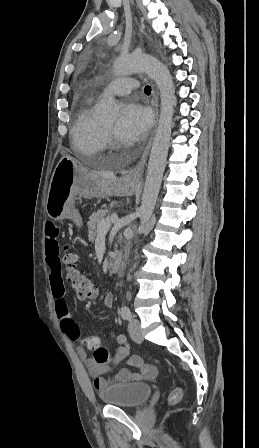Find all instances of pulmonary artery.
Instances as JSON below:
<instances>
[{
    "instance_id": "pulmonary-artery-1",
    "label": "pulmonary artery",
    "mask_w": 259,
    "mask_h": 448,
    "mask_svg": "<svg viewBox=\"0 0 259 448\" xmlns=\"http://www.w3.org/2000/svg\"><path fill=\"white\" fill-rule=\"evenodd\" d=\"M138 69L134 66L121 64L120 72L121 74L112 80L103 90L107 94L111 95H123L130 93V89L122 88L119 86V82L123 81L125 77L129 74L137 72Z\"/></svg>"
}]
</instances>
